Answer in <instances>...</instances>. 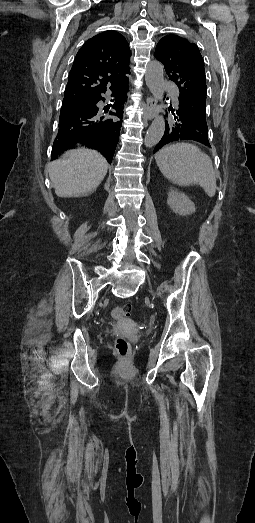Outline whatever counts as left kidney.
<instances>
[{"instance_id":"1","label":"left kidney","mask_w":255,"mask_h":523,"mask_svg":"<svg viewBox=\"0 0 255 523\" xmlns=\"http://www.w3.org/2000/svg\"><path fill=\"white\" fill-rule=\"evenodd\" d=\"M167 204L170 206L171 210L176 212V214H179V216H189V214H193L196 210L193 202L189 200L188 196L176 192L173 188H171L168 194Z\"/></svg>"}]
</instances>
